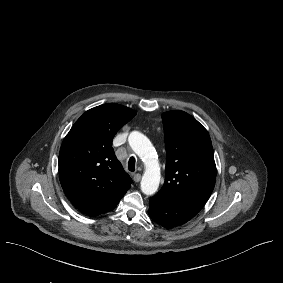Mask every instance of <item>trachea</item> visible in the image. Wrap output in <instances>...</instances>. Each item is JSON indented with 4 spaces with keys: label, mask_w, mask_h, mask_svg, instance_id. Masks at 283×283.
Instances as JSON below:
<instances>
[{
    "label": "trachea",
    "mask_w": 283,
    "mask_h": 283,
    "mask_svg": "<svg viewBox=\"0 0 283 283\" xmlns=\"http://www.w3.org/2000/svg\"><path fill=\"white\" fill-rule=\"evenodd\" d=\"M127 168H128V170L130 172H134L135 171V158L134 157H130L129 158Z\"/></svg>",
    "instance_id": "obj_1"
}]
</instances>
